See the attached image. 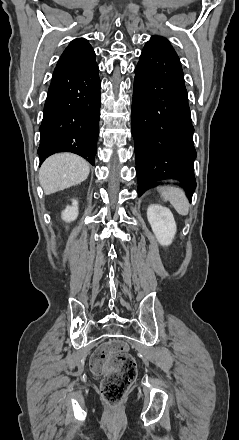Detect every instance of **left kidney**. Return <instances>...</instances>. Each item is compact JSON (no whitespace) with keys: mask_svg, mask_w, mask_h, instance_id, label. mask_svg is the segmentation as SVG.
<instances>
[{"mask_svg":"<svg viewBox=\"0 0 239 440\" xmlns=\"http://www.w3.org/2000/svg\"><path fill=\"white\" fill-rule=\"evenodd\" d=\"M147 218L159 244L170 246L177 230L172 212L160 204H151Z\"/></svg>","mask_w":239,"mask_h":440,"instance_id":"left-kidney-1","label":"left kidney"}]
</instances>
